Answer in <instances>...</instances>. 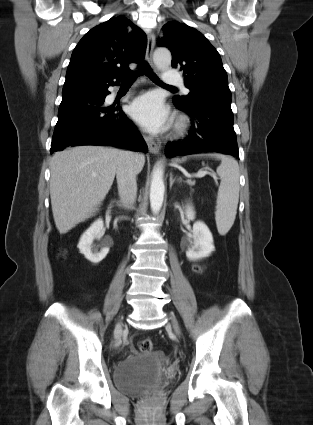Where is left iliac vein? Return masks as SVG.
<instances>
[{
    "mask_svg": "<svg viewBox=\"0 0 313 425\" xmlns=\"http://www.w3.org/2000/svg\"><path fill=\"white\" fill-rule=\"evenodd\" d=\"M171 320H172L174 331L176 332L177 335H179L180 334V330H179V326H178V323H177L175 317L172 316L171 317Z\"/></svg>",
    "mask_w": 313,
    "mask_h": 425,
    "instance_id": "left-iliac-vein-1",
    "label": "left iliac vein"
}]
</instances>
